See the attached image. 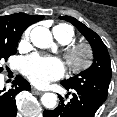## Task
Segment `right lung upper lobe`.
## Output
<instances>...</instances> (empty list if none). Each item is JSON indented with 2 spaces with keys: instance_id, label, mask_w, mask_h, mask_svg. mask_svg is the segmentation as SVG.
Listing matches in <instances>:
<instances>
[{
  "instance_id": "right-lung-upper-lobe-1",
  "label": "right lung upper lobe",
  "mask_w": 117,
  "mask_h": 117,
  "mask_svg": "<svg viewBox=\"0 0 117 117\" xmlns=\"http://www.w3.org/2000/svg\"><path fill=\"white\" fill-rule=\"evenodd\" d=\"M43 18L42 15H28L25 13L0 16V37L21 36L28 26Z\"/></svg>"
}]
</instances>
